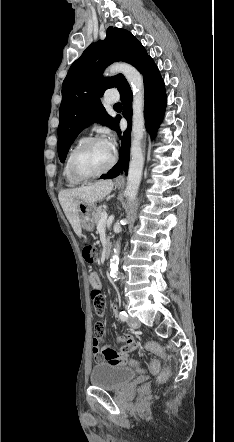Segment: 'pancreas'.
Listing matches in <instances>:
<instances>
[{
	"label": "pancreas",
	"mask_w": 234,
	"mask_h": 442,
	"mask_svg": "<svg viewBox=\"0 0 234 442\" xmlns=\"http://www.w3.org/2000/svg\"><path fill=\"white\" fill-rule=\"evenodd\" d=\"M105 209H106V206H99L97 209H96V212H95V215H94V221H95V224H99V222H100V219H101V214L103 213V212H105ZM107 240H109V238H107Z\"/></svg>",
	"instance_id": "cf45deb5"
}]
</instances>
